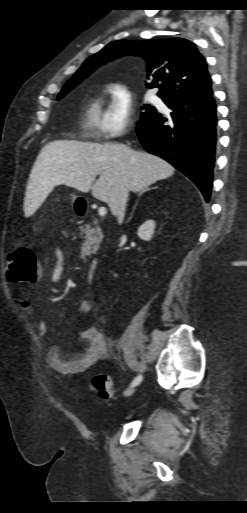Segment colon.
<instances>
[{
	"mask_svg": "<svg viewBox=\"0 0 247 513\" xmlns=\"http://www.w3.org/2000/svg\"><path fill=\"white\" fill-rule=\"evenodd\" d=\"M40 267L34 252L29 246L22 245L9 254L6 278L12 284L34 283L39 277ZM93 389L99 397L109 398L112 394V383L106 374L94 377Z\"/></svg>",
	"mask_w": 247,
	"mask_h": 513,
	"instance_id": "obj_1",
	"label": "colon"
}]
</instances>
